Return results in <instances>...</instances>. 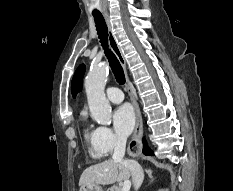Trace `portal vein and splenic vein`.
Returning <instances> with one entry per match:
<instances>
[{
	"label": "portal vein and splenic vein",
	"instance_id": "1",
	"mask_svg": "<svg viewBox=\"0 0 233 191\" xmlns=\"http://www.w3.org/2000/svg\"><path fill=\"white\" fill-rule=\"evenodd\" d=\"M131 187L130 180H125L123 183L122 191H129Z\"/></svg>",
	"mask_w": 233,
	"mask_h": 191
}]
</instances>
